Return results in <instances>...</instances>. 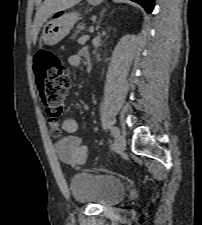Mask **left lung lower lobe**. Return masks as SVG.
<instances>
[{"label": "left lung lower lobe", "mask_w": 202, "mask_h": 225, "mask_svg": "<svg viewBox=\"0 0 202 225\" xmlns=\"http://www.w3.org/2000/svg\"><path fill=\"white\" fill-rule=\"evenodd\" d=\"M142 5L148 13H151L154 7V0H132Z\"/></svg>", "instance_id": "1"}]
</instances>
